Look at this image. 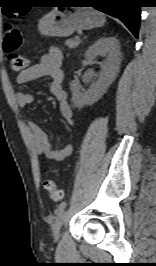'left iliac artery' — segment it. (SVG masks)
Listing matches in <instances>:
<instances>
[{"label":"left iliac artery","instance_id":"obj_1","mask_svg":"<svg viewBox=\"0 0 156 266\" xmlns=\"http://www.w3.org/2000/svg\"><path fill=\"white\" fill-rule=\"evenodd\" d=\"M66 207V202H62L59 204L57 212H61Z\"/></svg>","mask_w":156,"mask_h":266}]
</instances>
